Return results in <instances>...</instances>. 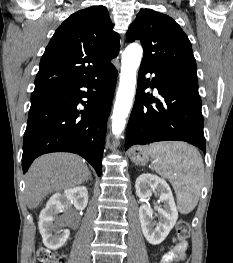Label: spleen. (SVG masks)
<instances>
[{
	"mask_svg": "<svg viewBox=\"0 0 233 263\" xmlns=\"http://www.w3.org/2000/svg\"><path fill=\"white\" fill-rule=\"evenodd\" d=\"M155 171L172 184L177 207L182 214L197 205L204 178V164L199 151L185 142H158L148 148Z\"/></svg>",
	"mask_w": 233,
	"mask_h": 263,
	"instance_id": "obj_1",
	"label": "spleen"
}]
</instances>
